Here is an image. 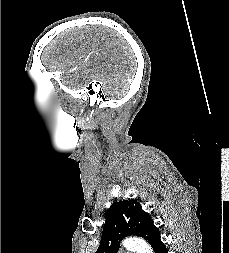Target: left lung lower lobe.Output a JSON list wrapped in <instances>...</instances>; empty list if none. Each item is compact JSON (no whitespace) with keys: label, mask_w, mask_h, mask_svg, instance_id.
<instances>
[{"label":"left lung lower lobe","mask_w":229,"mask_h":253,"mask_svg":"<svg viewBox=\"0 0 229 253\" xmlns=\"http://www.w3.org/2000/svg\"><path fill=\"white\" fill-rule=\"evenodd\" d=\"M153 249L155 253H168L166 246L161 240L156 243Z\"/></svg>","instance_id":"obj_1"}]
</instances>
